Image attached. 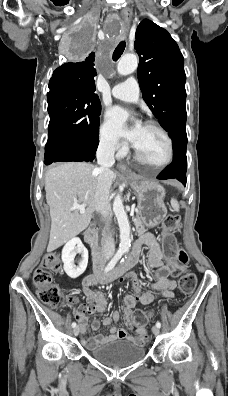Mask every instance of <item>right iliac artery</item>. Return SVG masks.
Masks as SVG:
<instances>
[{
  "label": "right iliac artery",
  "mask_w": 228,
  "mask_h": 396,
  "mask_svg": "<svg viewBox=\"0 0 228 396\" xmlns=\"http://www.w3.org/2000/svg\"><path fill=\"white\" fill-rule=\"evenodd\" d=\"M124 254V251L119 250L116 255L112 258V260L108 263V265L105 268V272L110 271L112 268H114V266L116 265V263L118 262V260L121 258V256ZM72 327H76V323L73 322L72 323Z\"/></svg>",
  "instance_id": "obj_1"
}]
</instances>
